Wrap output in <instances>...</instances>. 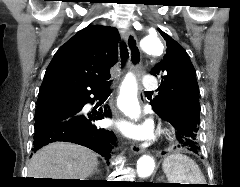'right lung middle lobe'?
<instances>
[{
	"label": "right lung middle lobe",
	"instance_id": "dd1d6c3e",
	"mask_svg": "<svg viewBox=\"0 0 240 187\" xmlns=\"http://www.w3.org/2000/svg\"><path fill=\"white\" fill-rule=\"evenodd\" d=\"M60 101H63V102L69 103V104H74V103L77 102V98H74V99H64V100H60Z\"/></svg>",
	"mask_w": 240,
	"mask_h": 187
}]
</instances>
